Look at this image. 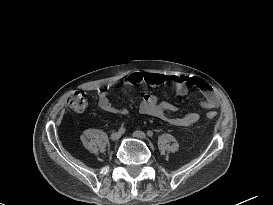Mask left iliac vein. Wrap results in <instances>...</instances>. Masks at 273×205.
<instances>
[{
  "mask_svg": "<svg viewBox=\"0 0 273 205\" xmlns=\"http://www.w3.org/2000/svg\"><path fill=\"white\" fill-rule=\"evenodd\" d=\"M132 135H133V137L141 139V140L146 139V134L143 131H139V130L134 131Z\"/></svg>",
  "mask_w": 273,
  "mask_h": 205,
  "instance_id": "obj_1",
  "label": "left iliac vein"
}]
</instances>
